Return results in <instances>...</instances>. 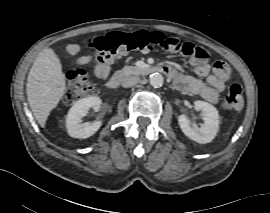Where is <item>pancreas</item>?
I'll list each match as a JSON object with an SVG mask.
<instances>
[{
	"mask_svg": "<svg viewBox=\"0 0 270 213\" xmlns=\"http://www.w3.org/2000/svg\"><path fill=\"white\" fill-rule=\"evenodd\" d=\"M141 69L136 66H124L122 70L118 72L120 76H128V75H138L140 74Z\"/></svg>",
	"mask_w": 270,
	"mask_h": 213,
	"instance_id": "1",
	"label": "pancreas"
}]
</instances>
